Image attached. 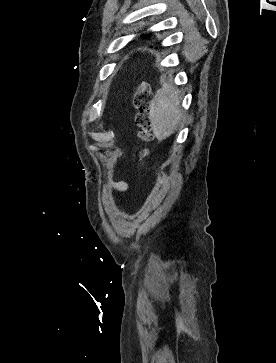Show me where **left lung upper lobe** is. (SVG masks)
Returning a JSON list of instances; mask_svg holds the SVG:
<instances>
[{
  "instance_id": "1",
  "label": "left lung upper lobe",
  "mask_w": 276,
  "mask_h": 363,
  "mask_svg": "<svg viewBox=\"0 0 276 363\" xmlns=\"http://www.w3.org/2000/svg\"><path fill=\"white\" fill-rule=\"evenodd\" d=\"M143 36H144L145 38H148L150 35H149V34H143Z\"/></svg>"
}]
</instances>
